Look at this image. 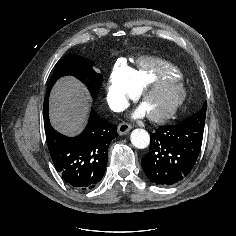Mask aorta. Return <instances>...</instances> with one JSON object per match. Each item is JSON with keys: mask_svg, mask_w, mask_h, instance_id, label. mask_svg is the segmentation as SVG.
<instances>
[{"mask_svg": "<svg viewBox=\"0 0 236 236\" xmlns=\"http://www.w3.org/2000/svg\"><path fill=\"white\" fill-rule=\"evenodd\" d=\"M130 140L136 148L144 149L150 143V136L146 130L138 128L131 132Z\"/></svg>", "mask_w": 236, "mask_h": 236, "instance_id": "762f6f07", "label": "aorta"}]
</instances>
